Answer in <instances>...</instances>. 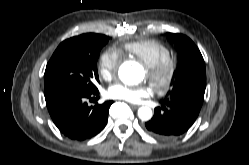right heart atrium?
<instances>
[{
    "label": "right heart atrium",
    "instance_id": "1",
    "mask_svg": "<svg viewBox=\"0 0 249 165\" xmlns=\"http://www.w3.org/2000/svg\"><path fill=\"white\" fill-rule=\"evenodd\" d=\"M120 65V54L115 48L105 50L98 62V73L105 81L112 80L118 71Z\"/></svg>",
    "mask_w": 249,
    "mask_h": 165
}]
</instances>
